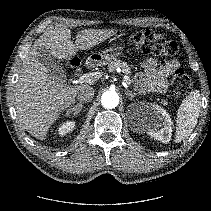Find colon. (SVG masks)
Returning <instances> with one entry per match:
<instances>
[{
    "label": "colon",
    "mask_w": 211,
    "mask_h": 211,
    "mask_svg": "<svg viewBox=\"0 0 211 211\" xmlns=\"http://www.w3.org/2000/svg\"><path fill=\"white\" fill-rule=\"evenodd\" d=\"M137 49L145 54H152L164 58L175 57L179 53L178 44L166 38L163 34L148 28L137 31L134 35ZM72 65L77 66L78 61L72 60ZM172 91L175 96L182 97L189 91L191 81L189 76L181 68H176L172 72Z\"/></svg>",
    "instance_id": "1"
}]
</instances>
